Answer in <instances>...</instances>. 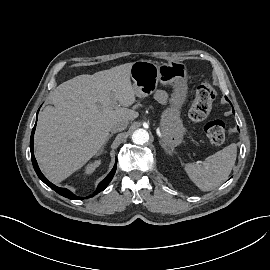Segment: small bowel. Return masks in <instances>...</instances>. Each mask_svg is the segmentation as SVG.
Masks as SVG:
<instances>
[{
    "mask_svg": "<svg viewBox=\"0 0 270 270\" xmlns=\"http://www.w3.org/2000/svg\"><path fill=\"white\" fill-rule=\"evenodd\" d=\"M155 97H156V98H158V99H160V100H164V99H166L165 92H164V91H162V90H158V91H156V93H155Z\"/></svg>",
    "mask_w": 270,
    "mask_h": 270,
    "instance_id": "c3829d8e",
    "label": "small bowel"
}]
</instances>
